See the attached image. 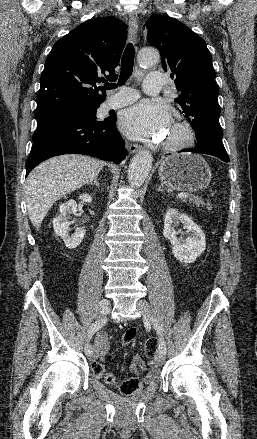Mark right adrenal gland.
<instances>
[{"label":"right adrenal gland","instance_id":"right-adrenal-gland-1","mask_svg":"<svg viewBox=\"0 0 257 439\" xmlns=\"http://www.w3.org/2000/svg\"><path fill=\"white\" fill-rule=\"evenodd\" d=\"M90 185H96L97 187H99V182L97 181V179L95 178L93 182L89 183Z\"/></svg>","mask_w":257,"mask_h":439}]
</instances>
